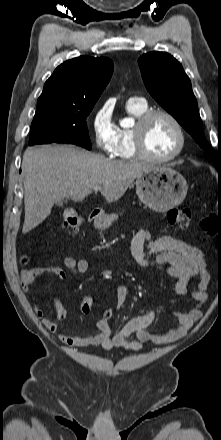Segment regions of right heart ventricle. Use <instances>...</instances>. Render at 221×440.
I'll return each mask as SVG.
<instances>
[{
	"mask_svg": "<svg viewBox=\"0 0 221 440\" xmlns=\"http://www.w3.org/2000/svg\"><path fill=\"white\" fill-rule=\"evenodd\" d=\"M127 111L132 116L139 117L147 111V104L145 101H129ZM113 155L122 160L137 157L133 144L132 128L118 127V141Z\"/></svg>",
	"mask_w": 221,
	"mask_h": 440,
	"instance_id": "obj_1",
	"label": "right heart ventricle"
}]
</instances>
